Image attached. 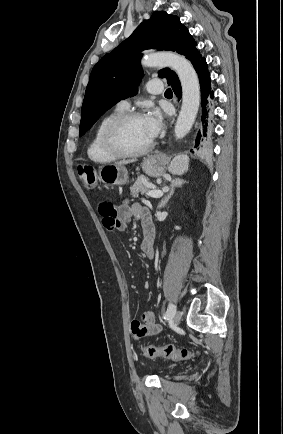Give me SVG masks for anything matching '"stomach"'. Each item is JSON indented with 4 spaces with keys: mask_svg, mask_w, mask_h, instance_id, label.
Instances as JSON below:
<instances>
[{
    "mask_svg": "<svg viewBox=\"0 0 283 434\" xmlns=\"http://www.w3.org/2000/svg\"><path fill=\"white\" fill-rule=\"evenodd\" d=\"M143 171L152 177L165 173L164 164L158 155H150L142 163ZM100 180L109 186L123 185L128 181V171L124 165L109 164L100 168Z\"/></svg>",
    "mask_w": 283,
    "mask_h": 434,
    "instance_id": "obj_1",
    "label": "stomach"
}]
</instances>
